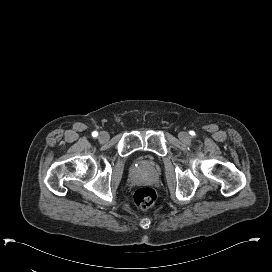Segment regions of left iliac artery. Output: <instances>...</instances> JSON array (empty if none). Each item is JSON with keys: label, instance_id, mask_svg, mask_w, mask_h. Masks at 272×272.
Here are the masks:
<instances>
[{"label": "left iliac artery", "instance_id": "obj_1", "mask_svg": "<svg viewBox=\"0 0 272 272\" xmlns=\"http://www.w3.org/2000/svg\"><path fill=\"white\" fill-rule=\"evenodd\" d=\"M190 135L195 136V132L194 131H190Z\"/></svg>", "mask_w": 272, "mask_h": 272}]
</instances>
